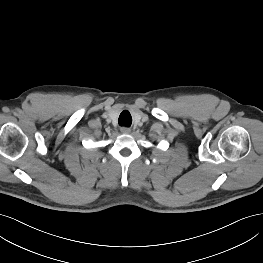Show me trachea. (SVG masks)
I'll return each instance as SVG.
<instances>
[{
    "label": "trachea",
    "instance_id": "1",
    "mask_svg": "<svg viewBox=\"0 0 263 263\" xmlns=\"http://www.w3.org/2000/svg\"><path fill=\"white\" fill-rule=\"evenodd\" d=\"M132 123V117L128 111H123L119 116V124L121 126H130Z\"/></svg>",
    "mask_w": 263,
    "mask_h": 263
}]
</instances>
